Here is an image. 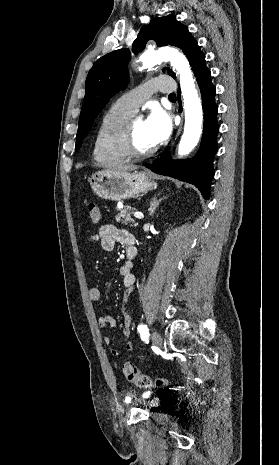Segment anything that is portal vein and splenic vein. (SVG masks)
I'll return each instance as SVG.
<instances>
[{
	"label": "portal vein and splenic vein",
	"mask_w": 279,
	"mask_h": 465,
	"mask_svg": "<svg viewBox=\"0 0 279 465\" xmlns=\"http://www.w3.org/2000/svg\"><path fill=\"white\" fill-rule=\"evenodd\" d=\"M134 217L138 218V219H142L144 217V215L141 212H135Z\"/></svg>",
	"instance_id": "1"
}]
</instances>
